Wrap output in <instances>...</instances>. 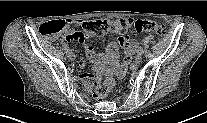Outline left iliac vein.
Returning a JSON list of instances; mask_svg holds the SVG:
<instances>
[{
  "instance_id": "4c4485c4",
  "label": "left iliac vein",
  "mask_w": 207,
  "mask_h": 123,
  "mask_svg": "<svg viewBox=\"0 0 207 123\" xmlns=\"http://www.w3.org/2000/svg\"><path fill=\"white\" fill-rule=\"evenodd\" d=\"M142 61V54L138 53L135 57V62L136 63H140Z\"/></svg>"
}]
</instances>
